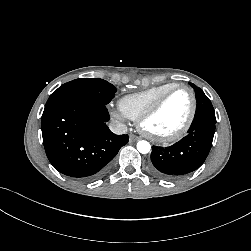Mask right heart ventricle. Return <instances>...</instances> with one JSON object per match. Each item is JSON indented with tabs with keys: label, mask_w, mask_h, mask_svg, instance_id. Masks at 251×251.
Instances as JSON below:
<instances>
[{
	"label": "right heart ventricle",
	"mask_w": 251,
	"mask_h": 251,
	"mask_svg": "<svg viewBox=\"0 0 251 251\" xmlns=\"http://www.w3.org/2000/svg\"><path fill=\"white\" fill-rule=\"evenodd\" d=\"M174 83H166L149 89L128 94L118 101L120 111L131 120L138 118L167 90L174 87Z\"/></svg>",
	"instance_id": "1"
}]
</instances>
